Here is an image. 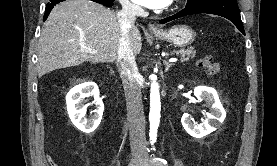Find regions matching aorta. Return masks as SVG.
I'll use <instances>...</instances> for the list:
<instances>
[{"label": "aorta", "mask_w": 277, "mask_h": 166, "mask_svg": "<svg viewBox=\"0 0 277 166\" xmlns=\"http://www.w3.org/2000/svg\"><path fill=\"white\" fill-rule=\"evenodd\" d=\"M151 91H150V113H149V121H150V132L149 137L151 143L156 142L157 139V130L160 123V110H161V102H160V94H159V85L156 81V77H151Z\"/></svg>", "instance_id": "obj_1"}]
</instances>
